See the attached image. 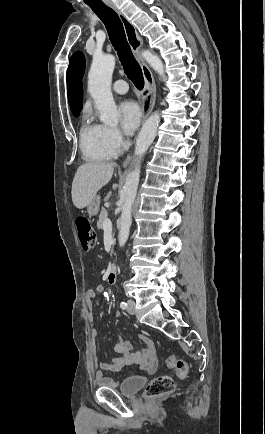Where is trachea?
Returning a JSON list of instances; mask_svg holds the SVG:
<instances>
[{
  "instance_id": "obj_1",
  "label": "trachea",
  "mask_w": 265,
  "mask_h": 434,
  "mask_svg": "<svg viewBox=\"0 0 265 434\" xmlns=\"http://www.w3.org/2000/svg\"><path fill=\"white\" fill-rule=\"evenodd\" d=\"M87 5L92 8L93 12H95L104 23L125 74L134 83L136 88L141 90L144 86L143 73L126 40L124 27L119 16L112 8L107 7L104 3H87Z\"/></svg>"
}]
</instances>
